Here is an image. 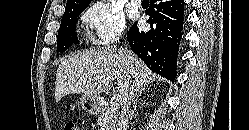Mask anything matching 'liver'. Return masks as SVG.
I'll return each instance as SVG.
<instances>
[{
	"label": "liver",
	"instance_id": "liver-1",
	"mask_svg": "<svg viewBox=\"0 0 249 130\" xmlns=\"http://www.w3.org/2000/svg\"><path fill=\"white\" fill-rule=\"evenodd\" d=\"M117 80L120 103L133 83L144 89L160 79L145 63L130 51L117 48H97L67 56L56 73L55 100L67 94L96 96L108 91Z\"/></svg>",
	"mask_w": 249,
	"mask_h": 130
}]
</instances>
